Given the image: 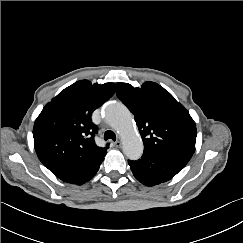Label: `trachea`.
<instances>
[{"instance_id":"trachea-1","label":"trachea","mask_w":243,"mask_h":243,"mask_svg":"<svg viewBox=\"0 0 243 243\" xmlns=\"http://www.w3.org/2000/svg\"><path fill=\"white\" fill-rule=\"evenodd\" d=\"M104 139L107 141L108 139L116 140V135L113 131L107 130L104 134Z\"/></svg>"}]
</instances>
